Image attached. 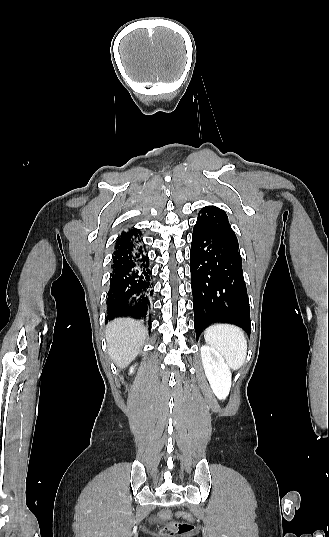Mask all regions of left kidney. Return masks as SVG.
Listing matches in <instances>:
<instances>
[{
  "label": "left kidney",
  "mask_w": 329,
  "mask_h": 537,
  "mask_svg": "<svg viewBox=\"0 0 329 537\" xmlns=\"http://www.w3.org/2000/svg\"><path fill=\"white\" fill-rule=\"evenodd\" d=\"M201 359L206 377L218 399H225L231 388V371L223 357L214 348L202 346Z\"/></svg>",
  "instance_id": "5707ae66"
}]
</instances>
